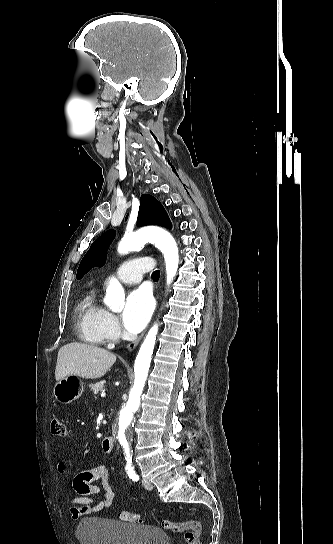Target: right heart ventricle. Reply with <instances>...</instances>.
Instances as JSON below:
<instances>
[{"mask_svg":"<svg viewBox=\"0 0 333 544\" xmlns=\"http://www.w3.org/2000/svg\"><path fill=\"white\" fill-rule=\"evenodd\" d=\"M107 311L97 301L96 292L87 294L76 310L77 329L82 340L101 344L105 341L103 322Z\"/></svg>","mask_w":333,"mask_h":544,"instance_id":"e07e8e85","label":"right heart ventricle"}]
</instances>
